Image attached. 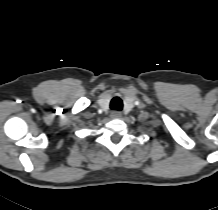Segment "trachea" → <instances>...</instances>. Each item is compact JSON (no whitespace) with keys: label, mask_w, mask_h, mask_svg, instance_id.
<instances>
[{"label":"trachea","mask_w":218,"mask_h":210,"mask_svg":"<svg viewBox=\"0 0 218 210\" xmlns=\"http://www.w3.org/2000/svg\"><path fill=\"white\" fill-rule=\"evenodd\" d=\"M123 107V103L122 100L119 97H115L112 99L111 103H110V108L112 110H122Z\"/></svg>","instance_id":"1"}]
</instances>
